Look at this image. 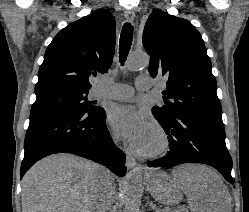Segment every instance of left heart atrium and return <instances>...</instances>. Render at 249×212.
Returning a JSON list of instances; mask_svg holds the SVG:
<instances>
[{
	"label": "left heart atrium",
	"mask_w": 249,
	"mask_h": 212,
	"mask_svg": "<svg viewBox=\"0 0 249 212\" xmlns=\"http://www.w3.org/2000/svg\"><path fill=\"white\" fill-rule=\"evenodd\" d=\"M108 122L114 132L126 140L132 149L142 151L149 124L144 115L134 106H114L110 110Z\"/></svg>",
	"instance_id": "1"
}]
</instances>
